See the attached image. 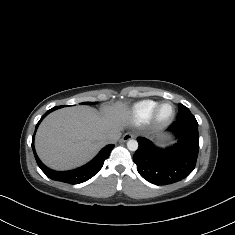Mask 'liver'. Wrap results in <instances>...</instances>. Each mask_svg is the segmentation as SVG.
I'll list each match as a JSON object with an SVG mask.
<instances>
[{"mask_svg":"<svg viewBox=\"0 0 235 235\" xmlns=\"http://www.w3.org/2000/svg\"><path fill=\"white\" fill-rule=\"evenodd\" d=\"M128 116L122 103L103 108L101 113L89 106L55 111L37 131V153L46 165L57 170L79 166L105 145L106 134L122 130Z\"/></svg>","mask_w":235,"mask_h":235,"instance_id":"1","label":"liver"}]
</instances>
